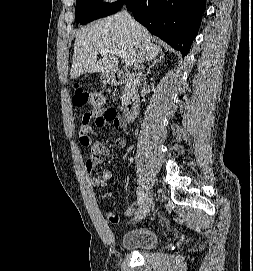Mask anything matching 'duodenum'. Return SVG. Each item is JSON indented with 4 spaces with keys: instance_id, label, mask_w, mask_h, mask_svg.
I'll list each match as a JSON object with an SVG mask.
<instances>
[{
    "instance_id": "1",
    "label": "duodenum",
    "mask_w": 253,
    "mask_h": 271,
    "mask_svg": "<svg viewBox=\"0 0 253 271\" xmlns=\"http://www.w3.org/2000/svg\"><path fill=\"white\" fill-rule=\"evenodd\" d=\"M110 78L114 85L127 88V99L123 106V116L127 122H131L136 117L140 106L136 76L132 73L117 70L112 72Z\"/></svg>"
}]
</instances>
